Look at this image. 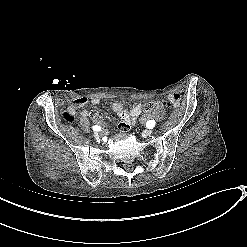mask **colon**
Returning a JSON list of instances; mask_svg holds the SVG:
<instances>
[{
	"label": "colon",
	"mask_w": 247,
	"mask_h": 247,
	"mask_svg": "<svg viewBox=\"0 0 247 247\" xmlns=\"http://www.w3.org/2000/svg\"><path fill=\"white\" fill-rule=\"evenodd\" d=\"M165 107V103L162 101H147L144 104V109L148 112H157ZM62 120L66 123H73L75 121L74 114L70 112L62 113Z\"/></svg>",
	"instance_id": "1"
}]
</instances>
